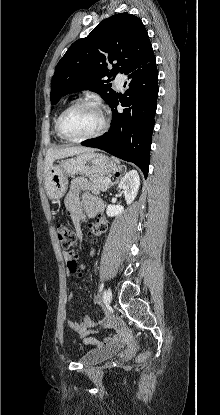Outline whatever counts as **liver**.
I'll return each mask as SVG.
<instances>
[{"label":"liver","mask_w":220,"mask_h":415,"mask_svg":"<svg viewBox=\"0 0 220 415\" xmlns=\"http://www.w3.org/2000/svg\"><path fill=\"white\" fill-rule=\"evenodd\" d=\"M93 149H90L88 147H67V148H59V149H49L46 153L45 157V174L49 171V169L52 167L53 162L56 159H62L65 157L73 156L76 154H80L87 151H92Z\"/></svg>","instance_id":"liver-1"}]
</instances>
